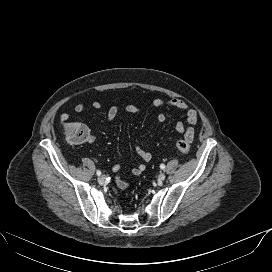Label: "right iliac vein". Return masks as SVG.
Masks as SVG:
<instances>
[{
	"instance_id": "right-iliac-vein-1",
	"label": "right iliac vein",
	"mask_w": 272,
	"mask_h": 272,
	"mask_svg": "<svg viewBox=\"0 0 272 272\" xmlns=\"http://www.w3.org/2000/svg\"><path fill=\"white\" fill-rule=\"evenodd\" d=\"M105 181H106V177H105L104 175H100V176L98 177V182H99L100 184H103Z\"/></svg>"
}]
</instances>
